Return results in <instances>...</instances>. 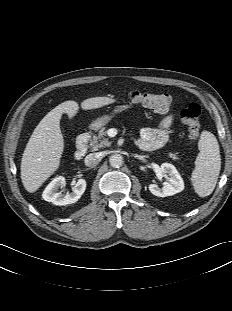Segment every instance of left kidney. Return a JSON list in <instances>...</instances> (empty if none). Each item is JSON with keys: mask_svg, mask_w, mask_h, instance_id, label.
<instances>
[{"mask_svg": "<svg viewBox=\"0 0 232 311\" xmlns=\"http://www.w3.org/2000/svg\"><path fill=\"white\" fill-rule=\"evenodd\" d=\"M160 169L168 177V182H164L162 188H159L156 184H150L148 188L153 195L166 197L184 190V181L174 165L163 163Z\"/></svg>", "mask_w": 232, "mask_h": 311, "instance_id": "5707ae66", "label": "left kidney"}]
</instances>
